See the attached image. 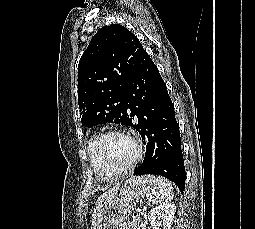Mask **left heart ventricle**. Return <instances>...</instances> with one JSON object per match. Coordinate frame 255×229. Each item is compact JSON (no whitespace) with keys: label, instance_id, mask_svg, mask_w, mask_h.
<instances>
[{"label":"left heart ventricle","instance_id":"left-heart-ventricle-1","mask_svg":"<svg viewBox=\"0 0 255 229\" xmlns=\"http://www.w3.org/2000/svg\"><path fill=\"white\" fill-rule=\"evenodd\" d=\"M101 149L105 159L115 166L128 164L136 154V146L133 141L123 136L109 137Z\"/></svg>","mask_w":255,"mask_h":229}]
</instances>
